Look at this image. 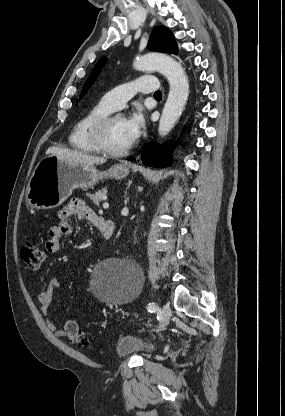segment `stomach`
<instances>
[{
  "mask_svg": "<svg viewBox=\"0 0 285 416\" xmlns=\"http://www.w3.org/2000/svg\"><path fill=\"white\" fill-rule=\"evenodd\" d=\"M129 174L125 164H116L107 172L47 156L37 164L27 186L26 202L30 208L49 210L61 206L76 188H93L103 178L122 180Z\"/></svg>",
  "mask_w": 285,
  "mask_h": 416,
  "instance_id": "1",
  "label": "stomach"
}]
</instances>
